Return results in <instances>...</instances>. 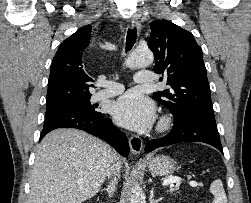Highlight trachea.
Instances as JSON below:
<instances>
[{"label": "trachea", "mask_w": 251, "mask_h": 203, "mask_svg": "<svg viewBox=\"0 0 251 203\" xmlns=\"http://www.w3.org/2000/svg\"><path fill=\"white\" fill-rule=\"evenodd\" d=\"M136 39H137L136 28L128 29L126 38V51H129L134 46Z\"/></svg>", "instance_id": "1"}]
</instances>
